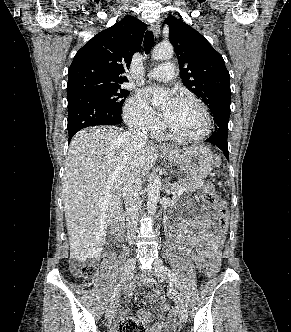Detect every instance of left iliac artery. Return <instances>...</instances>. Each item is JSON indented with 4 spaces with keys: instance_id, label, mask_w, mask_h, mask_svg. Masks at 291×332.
I'll return each instance as SVG.
<instances>
[{
    "instance_id": "1",
    "label": "left iliac artery",
    "mask_w": 291,
    "mask_h": 332,
    "mask_svg": "<svg viewBox=\"0 0 291 332\" xmlns=\"http://www.w3.org/2000/svg\"><path fill=\"white\" fill-rule=\"evenodd\" d=\"M163 270L168 275L170 280L173 281L175 283V285L178 287V281H177V277L175 276V274L166 266H163Z\"/></svg>"
}]
</instances>
